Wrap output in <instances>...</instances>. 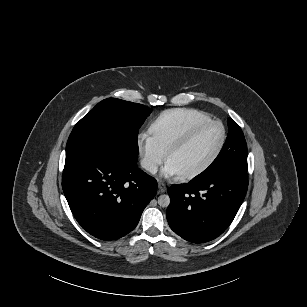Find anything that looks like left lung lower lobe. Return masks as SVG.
I'll return each mask as SVG.
<instances>
[{
	"instance_id": "left-lung-lower-lobe-1",
	"label": "left lung lower lobe",
	"mask_w": 307,
	"mask_h": 307,
	"mask_svg": "<svg viewBox=\"0 0 307 307\" xmlns=\"http://www.w3.org/2000/svg\"><path fill=\"white\" fill-rule=\"evenodd\" d=\"M247 188V173L238 171H222L172 185L168 189L171 199L166 212L168 223L187 241L213 240L233 221Z\"/></svg>"
}]
</instances>
